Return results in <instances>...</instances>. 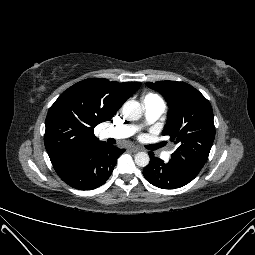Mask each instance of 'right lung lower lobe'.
<instances>
[{
	"mask_svg": "<svg viewBox=\"0 0 255 255\" xmlns=\"http://www.w3.org/2000/svg\"><path fill=\"white\" fill-rule=\"evenodd\" d=\"M123 152L125 149L102 142L55 162L53 166L59 177L69 186L79 190H91L107 181L117 158Z\"/></svg>",
	"mask_w": 255,
	"mask_h": 255,
	"instance_id": "98d812e1",
	"label": "right lung lower lobe"
}]
</instances>
